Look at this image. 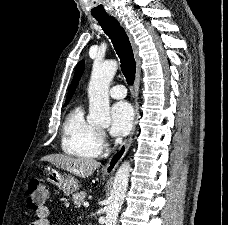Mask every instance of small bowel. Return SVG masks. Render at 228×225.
I'll use <instances>...</instances> for the list:
<instances>
[{"mask_svg":"<svg viewBox=\"0 0 228 225\" xmlns=\"http://www.w3.org/2000/svg\"><path fill=\"white\" fill-rule=\"evenodd\" d=\"M49 208L44 206L36 211L37 220L31 225H50L49 221Z\"/></svg>","mask_w":228,"mask_h":225,"instance_id":"c3829d8e","label":"small bowel"}]
</instances>
